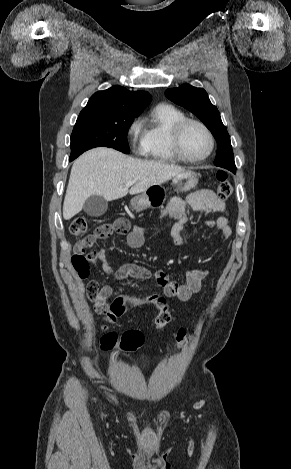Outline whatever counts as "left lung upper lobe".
<instances>
[{
	"instance_id": "left-lung-upper-lobe-1",
	"label": "left lung upper lobe",
	"mask_w": 291,
	"mask_h": 469,
	"mask_svg": "<svg viewBox=\"0 0 291 469\" xmlns=\"http://www.w3.org/2000/svg\"><path fill=\"white\" fill-rule=\"evenodd\" d=\"M165 95L169 100L194 113L204 123L217 141L214 164L235 173L230 136L222 123L218 109L210 102L207 92L202 88L184 84L178 88L167 89Z\"/></svg>"
}]
</instances>
